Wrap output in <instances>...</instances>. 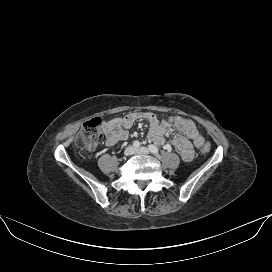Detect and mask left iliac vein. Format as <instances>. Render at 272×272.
<instances>
[{
	"mask_svg": "<svg viewBox=\"0 0 272 272\" xmlns=\"http://www.w3.org/2000/svg\"><path fill=\"white\" fill-rule=\"evenodd\" d=\"M135 154L148 155L150 152L146 147H140L135 149Z\"/></svg>",
	"mask_w": 272,
	"mask_h": 272,
	"instance_id": "4c4485c4",
	"label": "left iliac vein"
}]
</instances>
